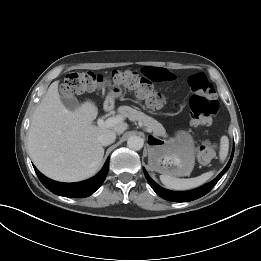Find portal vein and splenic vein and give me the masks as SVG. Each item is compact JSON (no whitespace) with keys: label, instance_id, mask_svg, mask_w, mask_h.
<instances>
[{"label":"portal vein and splenic vein","instance_id":"portal-vein-and-splenic-vein-1","mask_svg":"<svg viewBox=\"0 0 261 261\" xmlns=\"http://www.w3.org/2000/svg\"><path fill=\"white\" fill-rule=\"evenodd\" d=\"M124 119V116L122 115H118V116H115V117H110L106 120H103V119H98L97 121V124L99 127H113L119 123H121Z\"/></svg>","mask_w":261,"mask_h":261}]
</instances>
